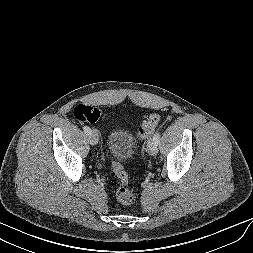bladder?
<instances>
[{
	"label": "bladder",
	"mask_w": 253,
	"mask_h": 253,
	"mask_svg": "<svg viewBox=\"0 0 253 253\" xmlns=\"http://www.w3.org/2000/svg\"><path fill=\"white\" fill-rule=\"evenodd\" d=\"M107 148L114 160L126 162L134 155L136 142L129 130L114 129L108 134Z\"/></svg>",
	"instance_id": "1"
}]
</instances>
